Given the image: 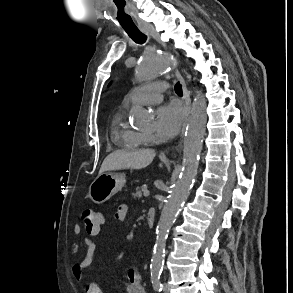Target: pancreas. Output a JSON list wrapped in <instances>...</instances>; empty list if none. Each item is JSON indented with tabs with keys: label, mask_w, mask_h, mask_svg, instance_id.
<instances>
[{
	"label": "pancreas",
	"mask_w": 293,
	"mask_h": 293,
	"mask_svg": "<svg viewBox=\"0 0 293 293\" xmlns=\"http://www.w3.org/2000/svg\"><path fill=\"white\" fill-rule=\"evenodd\" d=\"M144 191L145 190L142 189L141 187H136V191L132 195H133L134 198L140 199L142 197V192H144Z\"/></svg>",
	"instance_id": "obj_1"
}]
</instances>
